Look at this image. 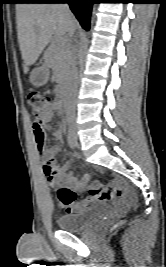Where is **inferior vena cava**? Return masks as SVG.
<instances>
[{
    "label": "inferior vena cava",
    "instance_id": "602c4592",
    "mask_svg": "<svg viewBox=\"0 0 166 267\" xmlns=\"http://www.w3.org/2000/svg\"><path fill=\"white\" fill-rule=\"evenodd\" d=\"M62 9L69 15L71 14L69 6L67 3L61 4ZM75 30L73 28L69 29L68 35L71 37L74 34ZM69 86L71 91V100L73 101L75 98V92L77 91L78 86V68L76 63V48L75 46L70 47L69 51Z\"/></svg>",
    "mask_w": 166,
    "mask_h": 267
}]
</instances>
